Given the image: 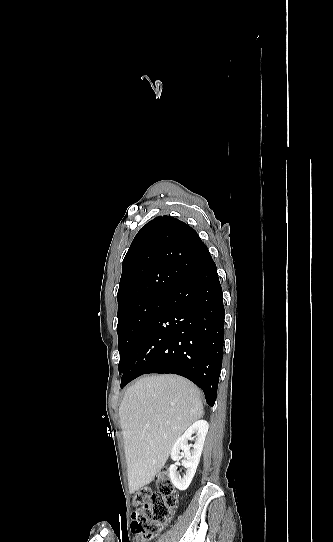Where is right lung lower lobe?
<instances>
[{"label": "right lung lower lobe", "instance_id": "obj_1", "mask_svg": "<svg viewBox=\"0 0 333 542\" xmlns=\"http://www.w3.org/2000/svg\"><path fill=\"white\" fill-rule=\"evenodd\" d=\"M166 265L185 276L167 293L146 325L122 373L121 388L140 375L173 373L200 387L208 405L217 397L224 344L222 287L205 246L193 253L159 251Z\"/></svg>", "mask_w": 333, "mask_h": 542}]
</instances>
